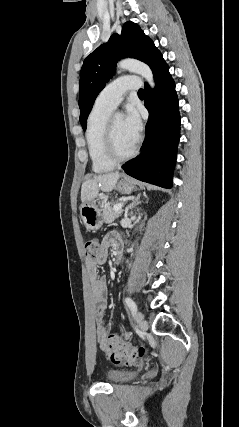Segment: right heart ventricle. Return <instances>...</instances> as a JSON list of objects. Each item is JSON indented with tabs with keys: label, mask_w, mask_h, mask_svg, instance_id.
I'll return each mask as SVG.
<instances>
[{
	"label": "right heart ventricle",
	"mask_w": 239,
	"mask_h": 427,
	"mask_svg": "<svg viewBox=\"0 0 239 427\" xmlns=\"http://www.w3.org/2000/svg\"><path fill=\"white\" fill-rule=\"evenodd\" d=\"M111 112L110 109L94 105L87 120L85 136L88 153L92 168L97 173L107 172L113 169L115 165L106 158L103 148L105 126Z\"/></svg>",
	"instance_id": "1"
}]
</instances>
